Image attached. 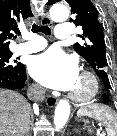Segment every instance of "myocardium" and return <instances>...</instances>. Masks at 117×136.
Returning a JSON list of instances; mask_svg holds the SVG:
<instances>
[{"label":"myocardium","mask_w":117,"mask_h":136,"mask_svg":"<svg viewBox=\"0 0 117 136\" xmlns=\"http://www.w3.org/2000/svg\"><path fill=\"white\" fill-rule=\"evenodd\" d=\"M79 77L85 79L88 82L89 89L83 94L71 91L69 98L75 102L85 103L97 96L100 88L99 81L97 77L90 71H82Z\"/></svg>","instance_id":"1"}]
</instances>
